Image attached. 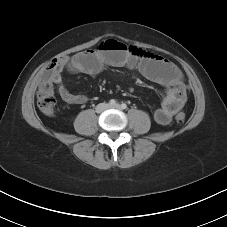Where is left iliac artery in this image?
I'll use <instances>...</instances> for the list:
<instances>
[{"label": "left iliac artery", "instance_id": "1", "mask_svg": "<svg viewBox=\"0 0 227 227\" xmlns=\"http://www.w3.org/2000/svg\"><path fill=\"white\" fill-rule=\"evenodd\" d=\"M121 108L122 109H126L127 108V105L125 103L121 104Z\"/></svg>", "mask_w": 227, "mask_h": 227}]
</instances>
